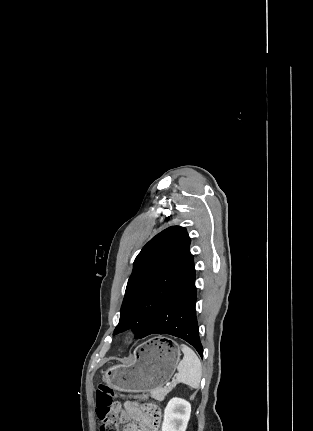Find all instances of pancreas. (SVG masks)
Instances as JSON below:
<instances>
[{"instance_id": "pancreas-1", "label": "pancreas", "mask_w": 313, "mask_h": 431, "mask_svg": "<svg viewBox=\"0 0 313 431\" xmlns=\"http://www.w3.org/2000/svg\"><path fill=\"white\" fill-rule=\"evenodd\" d=\"M176 386V383L170 384L168 387L157 388L150 391V395L152 398L156 400H163L165 396L172 391V389Z\"/></svg>"}]
</instances>
